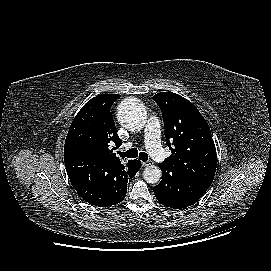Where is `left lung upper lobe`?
Masks as SVG:
<instances>
[{
    "instance_id": "left-lung-upper-lobe-1",
    "label": "left lung upper lobe",
    "mask_w": 271,
    "mask_h": 271,
    "mask_svg": "<svg viewBox=\"0 0 271 271\" xmlns=\"http://www.w3.org/2000/svg\"><path fill=\"white\" fill-rule=\"evenodd\" d=\"M163 115L166 144L172 151L159 166L175 170L210 187L217 154L209 125L198 109L173 92L153 96Z\"/></svg>"
}]
</instances>
